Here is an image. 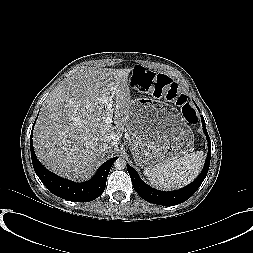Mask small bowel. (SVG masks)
I'll use <instances>...</instances> for the list:
<instances>
[{
  "mask_svg": "<svg viewBox=\"0 0 253 253\" xmlns=\"http://www.w3.org/2000/svg\"><path fill=\"white\" fill-rule=\"evenodd\" d=\"M134 86L138 89L146 90L149 92H153V89H154V84L151 81L142 80V79L136 80L134 83Z\"/></svg>",
  "mask_w": 253,
  "mask_h": 253,
  "instance_id": "obj_1",
  "label": "small bowel"
}]
</instances>
